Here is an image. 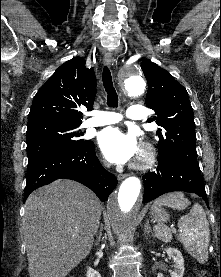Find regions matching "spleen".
I'll return each mask as SVG.
<instances>
[{
	"label": "spleen",
	"instance_id": "3e777b00",
	"mask_svg": "<svg viewBox=\"0 0 221 277\" xmlns=\"http://www.w3.org/2000/svg\"><path fill=\"white\" fill-rule=\"evenodd\" d=\"M176 210L187 208L191 202L181 192H172L161 196L156 202ZM180 234L178 240L183 243L188 253L199 263L208 260V246L210 240L209 223L206 213L199 204H194L190 213L182 216L178 221ZM155 236L164 242L172 240V232L167 226L157 225L154 227Z\"/></svg>",
	"mask_w": 221,
	"mask_h": 277
}]
</instances>
